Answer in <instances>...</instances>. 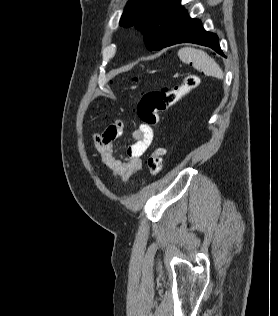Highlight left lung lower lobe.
I'll return each mask as SVG.
<instances>
[{"instance_id": "0a47b994", "label": "left lung lower lobe", "mask_w": 278, "mask_h": 316, "mask_svg": "<svg viewBox=\"0 0 278 316\" xmlns=\"http://www.w3.org/2000/svg\"><path fill=\"white\" fill-rule=\"evenodd\" d=\"M180 43H194L208 46L220 55L225 56L219 46L218 36L214 33L205 31L201 21L190 18L187 11L182 17L174 35L167 42L164 48Z\"/></svg>"}]
</instances>
